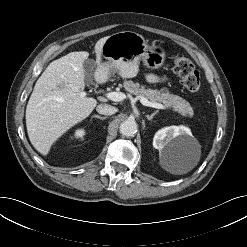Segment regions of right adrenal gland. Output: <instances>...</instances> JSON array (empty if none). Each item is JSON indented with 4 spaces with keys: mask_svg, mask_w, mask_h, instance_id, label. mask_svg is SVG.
<instances>
[{
    "mask_svg": "<svg viewBox=\"0 0 247 247\" xmlns=\"http://www.w3.org/2000/svg\"><path fill=\"white\" fill-rule=\"evenodd\" d=\"M92 118H98V119H101V120H105L106 117H101L99 115H93Z\"/></svg>",
    "mask_w": 247,
    "mask_h": 247,
    "instance_id": "1",
    "label": "right adrenal gland"
}]
</instances>
